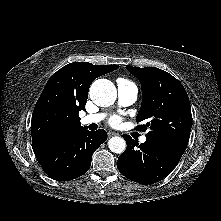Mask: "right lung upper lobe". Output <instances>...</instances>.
Returning <instances> with one entry per match:
<instances>
[{"label":"right lung upper lobe","instance_id":"1","mask_svg":"<svg viewBox=\"0 0 221 221\" xmlns=\"http://www.w3.org/2000/svg\"><path fill=\"white\" fill-rule=\"evenodd\" d=\"M118 67L73 62L50 77L32 115L31 135L35 154L84 128L78 113L85 109L92 81Z\"/></svg>","mask_w":221,"mask_h":221}]
</instances>
